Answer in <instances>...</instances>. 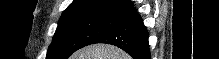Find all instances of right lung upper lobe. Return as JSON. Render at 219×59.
Segmentation results:
<instances>
[{
	"label": "right lung upper lobe",
	"mask_w": 219,
	"mask_h": 59,
	"mask_svg": "<svg viewBox=\"0 0 219 59\" xmlns=\"http://www.w3.org/2000/svg\"><path fill=\"white\" fill-rule=\"evenodd\" d=\"M128 0H74L63 12L62 17L84 11H112Z\"/></svg>",
	"instance_id": "1"
}]
</instances>
